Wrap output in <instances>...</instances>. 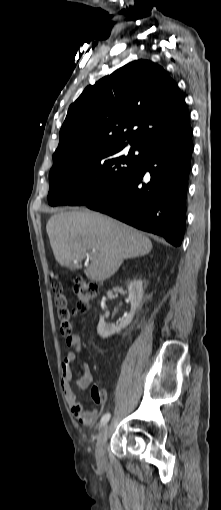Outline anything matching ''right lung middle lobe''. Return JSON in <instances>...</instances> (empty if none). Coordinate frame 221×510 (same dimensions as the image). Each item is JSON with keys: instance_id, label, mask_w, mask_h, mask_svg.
Returning <instances> with one entry per match:
<instances>
[{"instance_id": "obj_1", "label": "right lung middle lobe", "mask_w": 221, "mask_h": 510, "mask_svg": "<svg viewBox=\"0 0 221 510\" xmlns=\"http://www.w3.org/2000/svg\"><path fill=\"white\" fill-rule=\"evenodd\" d=\"M123 146H101L71 154L54 165L49 174L48 202L56 205H85L127 181L140 164V155Z\"/></svg>"}]
</instances>
